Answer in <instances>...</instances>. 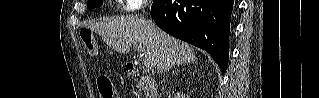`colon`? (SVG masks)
I'll use <instances>...</instances> for the list:
<instances>
[{
	"mask_svg": "<svg viewBox=\"0 0 319 98\" xmlns=\"http://www.w3.org/2000/svg\"><path fill=\"white\" fill-rule=\"evenodd\" d=\"M80 35L87 53L91 56H97L98 48L95 43L93 33L89 29H84L81 31ZM96 83L102 98H116V93L109 78L105 76H99L96 80Z\"/></svg>",
	"mask_w": 319,
	"mask_h": 98,
	"instance_id": "1",
	"label": "colon"
}]
</instances>
